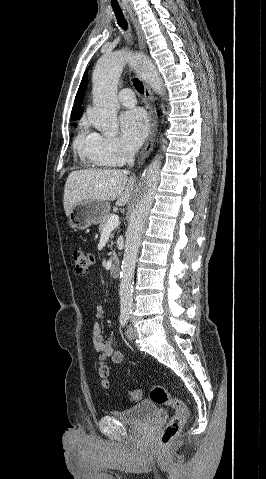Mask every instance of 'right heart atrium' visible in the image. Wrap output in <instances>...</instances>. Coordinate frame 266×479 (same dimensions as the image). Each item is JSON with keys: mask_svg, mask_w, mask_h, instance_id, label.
I'll use <instances>...</instances> for the list:
<instances>
[{"mask_svg": "<svg viewBox=\"0 0 266 479\" xmlns=\"http://www.w3.org/2000/svg\"><path fill=\"white\" fill-rule=\"evenodd\" d=\"M96 151L110 166H122L132 159L130 149L117 137L95 134Z\"/></svg>", "mask_w": 266, "mask_h": 479, "instance_id": "d8ad5b80", "label": "right heart atrium"}]
</instances>
